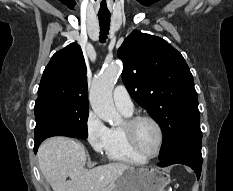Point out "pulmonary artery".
<instances>
[{
    "mask_svg": "<svg viewBox=\"0 0 233 191\" xmlns=\"http://www.w3.org/2000/svg\"><path fill=\"white\" fill-rule=\"evenodd\" d=\"M113 100L116 108L124 113L133 112V103L130 95L123 85H118L113 92Z\"/></svg>",
    "mask_w": 233,
    "mask_h": 191,
    "instance_id": "obj_1",
    "label": "pulmonary artery"
}]
</instances>
